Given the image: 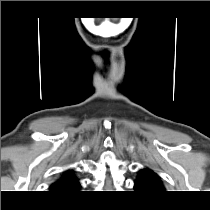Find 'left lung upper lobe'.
Listing matches in <instances>:
<instances>
[{"instance_id":"obj_1","label":"left lung upper lobe","mask_w":210,"mask_h":210,"mask_svg":"<svg viewBox=\"0 0 210 210\" xmlns=\"http://www.w3.org/2000/svg\"><path fill=\"white\" fill-rule=\"evenodd\" d=\"M134 188L141 193L155 195L165 191L160 177L151 169L143 168L138 171Z\"/></svg>"}]
</instances>
